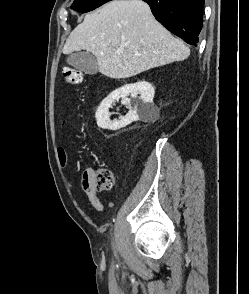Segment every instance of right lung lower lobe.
I'll list each match as a JSON object with an SVG mask.
<instances>
[{
	"instance_id": "1",
	"label": "right lung lower lobe",
	"mask_w": 249,
	"mask_h": 294,
	"mask_svg": "<svg viewBox=\"0 0 249 294\" xmlns=\"http://www.w3.org/2000/svg\"><path fill=\"white\" fill-rule=\"evenodd\" d=\"M163 26L188 44L196 46L203 26L205 0H143Z\"/></svg>"
}]
</instances>
